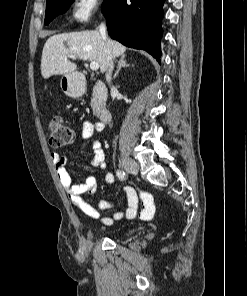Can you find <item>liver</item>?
I'll return each mask as SVG.
<instances>
[{"mask_svg": "<svg viewBox=\"0 0 247 296\" xmlns=\"http://www.w3.org/2000/svg\"><path fill=\"white\" fill-rule=\"evenodd\" d=\"M125 51V46L103 37L97 30L53 35L43 47L41 74L43 78H48L52 75L75 73L77 65L68 60L69 55L97 62L101 73H104L108 70L110 61L124 55Z\"/></svg>", "mask_w": 247, "mask_h": 296, "instance_id": "6515ba94", "label": "liver"}]
</instances>
